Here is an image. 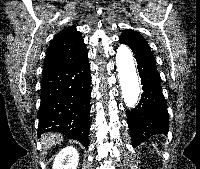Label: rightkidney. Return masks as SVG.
<instances>
[{"label": "right kidney", "mask_w": 200, "mask_h": 169, "mask_svg": "<svg viewBox=\"0 0 200 169\" xmlns=\"http://www.w3.org/2000/svg\"><path fill=\"white\" fill-rule=\"evenodd\" d=\"M78 162V151L73 146H67L56 155L52 169H77Z\"/></svg>", "instance_id": "1"}]
</instances>
